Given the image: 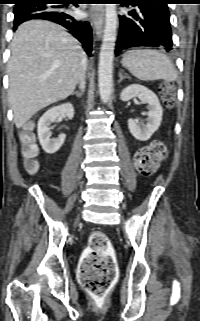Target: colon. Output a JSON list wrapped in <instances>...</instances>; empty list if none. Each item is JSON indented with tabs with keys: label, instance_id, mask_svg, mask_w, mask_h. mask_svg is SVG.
I'll list each match as a JSON object with an SVG mask.
<instances>
[{
	"label": "colon",
	"instance_id": "colon-1",
	"mask_svg": "<svg viewBox=\"0 0 200 321\" xmlns=\"http://www.w3.org/2000/svg\"><path fill=\"white\" fill-rule=\"evenodd\" d=\"M174 84L164 83L161 86V95L168 107L174 104ZM23 154L26 158L25 168L33 174L38 169L34 157L38 153L34 137L30 132L22 134ZM167 156V147L162 141H153L137 151L135 167L144 176L153 175L161 162ZM116 277L114 250L107 235L101 231L93 232L88 240V247L82 257L79 267V280L83 288L95 299H103L109 291Z\"/></svg>",
	"mask_w": 200,
	"mask_h": 321
}]
</instances>
